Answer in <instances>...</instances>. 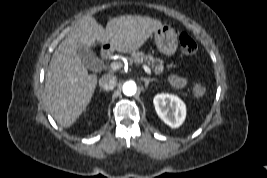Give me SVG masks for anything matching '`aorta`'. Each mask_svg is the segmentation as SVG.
<instances>
[{"label":"aorta","mask_w":267,"mask_h":178,"mask_svg":"<svg viewBox=\"0 0 267 178\" xmlns=\"http://www.w3.org/2000/svg\"><path fill=\"white\" fill-rule=\"evenodd\" d=\"M122 91L126 96H133L137 91V86L135 82L129 81L124 83Z\"/></svg>","instance_id":"obj_1"}]
</instances>
